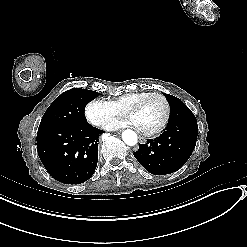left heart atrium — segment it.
I'll return each instance as SVG.
<instances>
[{
	"instance_id": "39dd6f15",
	"label": "left heart atrium",
	"mask_w": 247,
	"mask_h": 247,
	"mask_svg": "<svg viewBox=\"0 0 247 247\" xmlns=\"http://www.w3.org/2000/svg\"><path fill=\"white\" fill-rule=\"evenodd\" d=\"M133 125L136 126V123L133 119V117L127 118V119H121L117 123L113 124L111 128L117 129L125 126Z\"/></svg>"
}]
</instances>
